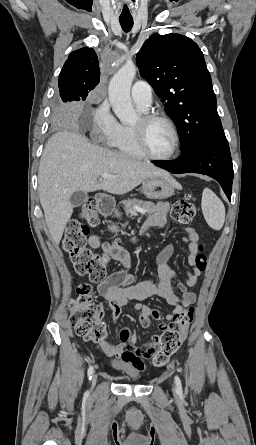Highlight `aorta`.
<instances>
[{"mask_svg": "<svg viewBox=\"0 0 256 445\" xmlns=\"http://www.w3.org/2000/svg\"><path fill=\"white\" fill-rule=\"evenodd\" d=\"M136 75V67L128 62L112 77L108 95L113 112L122 123H133L138 115L130 96V89Z\"/></svg>", "mask_w": 256, "mask_h": 445, "instance_id": "762f6f07", "label": "aorta"}]
</instances>
